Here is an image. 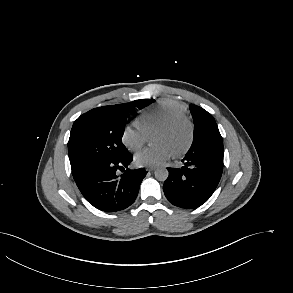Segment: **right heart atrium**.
<instances>
[{
  "instance_id": "obj_1",
  "label": "right heart atrium",
  "mask_w": 293,
  "mask_h": 293,
  "mask_svg": "<svg viewBox=\"0 0 293 293\" xmlns=\"http://www.w3.org/2000/svg\"><path fill=\"white\" fill-rule=\"evenodd\" d=\"M121 141L128 150L138 151L145 143V133L137 125H127L122 131Z\"/></svg>"
}]
</instances>
